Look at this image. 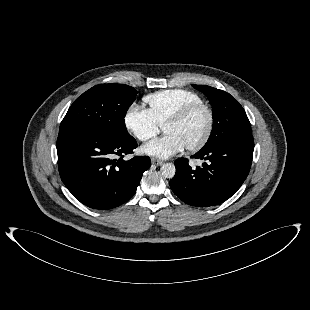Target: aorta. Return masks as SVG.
I'll return each mask as SVG.
<instances>
[{
  "label": "aorta",
  "mask_w": 310,
  "mask_h": 310,
  "mask_svg": "<svg viewBox=\"0 0 310 310\" xmlns=\"http://www.w3.org/2000/svg\"><path fill=\"white\" fill-rule=\"evenodd\" d=\"M160 172L164 178L171 179L176 172L175 165L173 163H165L161 166Z\"/></svg>",
  "instance_id": "aorta-1"
}]
</instances>
